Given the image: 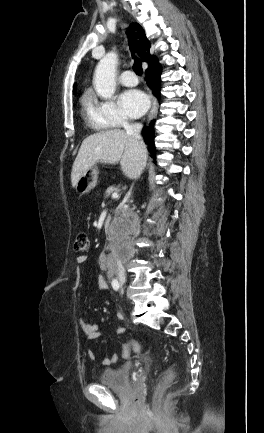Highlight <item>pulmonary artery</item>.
<instances>
[{"instance_id": "pulmonary-artery-1", "label": "pulmonary artery", "mask_w": 264, "mask_h": 433, "mask_svg": "<svg viewBox=\"0 0 264 433\" xmlns=\"http://www.w3.org/2000/svg\"><path fill=\"white\" fill-rule=\"evenodd\" d=\"M120 83L124 86L132 87L137 85L138 79L131 70H125L120 76Z\"/></svg>"}]
</instances>
